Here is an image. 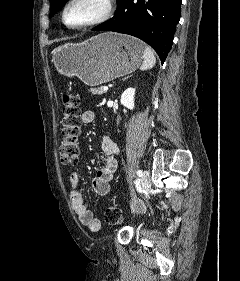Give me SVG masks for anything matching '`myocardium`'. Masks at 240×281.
<instances>
[{
	"label": "myocardium",
	"instance_id": "obj_1",
	"mask_svg": "<svg viewBox=\"0 0 240 281\" xmlns=\"http://www.w3.org/2000/svg\"><path fill=\"white\" fill-rule=\"evenodd\" d=\"M76 1L77 0H68L65 3V5L63 6L62 11H61V22L65 27H67L69 29H82V28L99 25V24L107 21L113 13V0H102L101 2L103 4V8H102V11L99 13V15H97L95 18H93L87 22L77 24V25H70L66 22V13H67L69 7Z\"/></svg>",
	"mask_w": 240,
	"mask_h": 281
}]
</instances>
